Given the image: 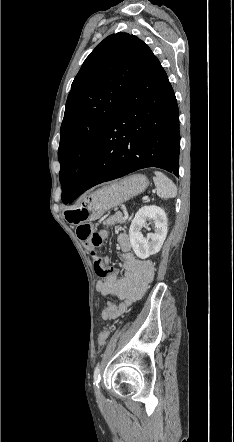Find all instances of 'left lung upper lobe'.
Returning <instances> with one entry per match:
<instances>
[{
	"label": "left lung upper lobe",
	"instance_id": "5c2ea615",
	"mask_svg": "<svg viewBox=\"0 0 234 442\" xmlns=\"http://www.w3.org/2000/svg\"><path fill=\"white\" fill-rule=\"evenodd\" d=\"M152 57L142 40L119 32L105 38L84 61L72 83L60 129L64 203L78 190L104 129Z\"/></svg>",
	"mask_w": 234,
	"mask_h": 442
}]
</instances>
